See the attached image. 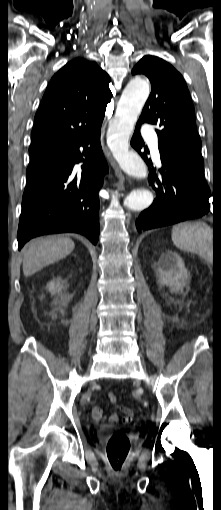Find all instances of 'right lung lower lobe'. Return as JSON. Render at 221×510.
<instances>
[{"label": "right lung lower lobe", "instance_id": "right-lung-lower-lobe-1", "mask_svg": "<svg viewBox=\"0 0 221 510\" xmlns=\"http://www.w3.org/2000/svg\"><path fill=\"white\" fill-rule=\"evenodd\" d=\"M101 124L70 143L31 159L17 233L18 249L31 238L63 232L99 238V197L108 172L100 144ZM80 147H83L81 149ZM83 162L82 172L73 169Z\"/></svg>", "mask_w": 221, "mask_h": 510}]
</instances>
